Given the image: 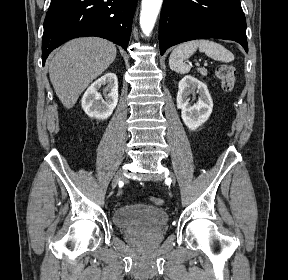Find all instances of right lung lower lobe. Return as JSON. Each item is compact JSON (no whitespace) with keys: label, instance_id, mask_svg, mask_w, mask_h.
<instances>
[{"label":"right lung lower lobe","instance_id":"1","mask_svg":"<svg viewBox=\"0 0 288 280\" xmlns=\"http://www.w3.org/2000/svg\"><path fill=\"white\" fill-rule=\"evenodd\" d=\"M137 0H52L44 21L42 62L56 47L82 36L108 39L127 50Z\"/></svg>","mask_w":288,"mask_h":280}]
</instances>
